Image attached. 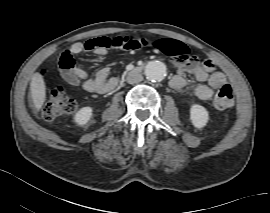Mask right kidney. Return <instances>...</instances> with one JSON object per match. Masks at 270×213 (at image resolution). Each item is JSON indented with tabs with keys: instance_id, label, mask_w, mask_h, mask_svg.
Wrapping results in <instances>:
<instances>
[{
	"instance_id": "right-kidney-1",
	"label": "right kidney",
	"mask_w": 270,
	"mask_h": 213,
	"mask_svg": "<svg viewBox=\"0 0 270 213\" xmlns=\"http://www.w3.org/2000/svg\"><path fill=\"white\" fill-rule=\"evenodd\" d=\"M93 109L89 106L81 108L76 114H75V122L78 125H84L86 124L91 116H92Z\"/></svg>"
}]
</instances>
